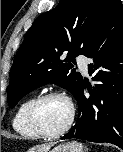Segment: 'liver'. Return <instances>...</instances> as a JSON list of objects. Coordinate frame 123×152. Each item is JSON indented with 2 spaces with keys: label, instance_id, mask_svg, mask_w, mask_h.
<instances>
[{
  "label": "liver",
  "instance_id": "liver-1",
  "mask_svg": "<svg viewBox=\"0 0 123 152\" xmlns=\"http://www.w3.org/2000/svg\"><path fill=\"white\" fill-rule=\"evenodd\" d=\"M53 145L54 143H46V144L38 145L30 148L28 152H48Z\"/></svg>",
  "mask_w": 123,
  "mask_h": 152
}]
</instances>
